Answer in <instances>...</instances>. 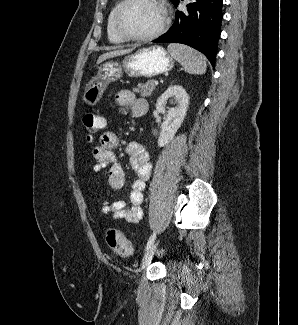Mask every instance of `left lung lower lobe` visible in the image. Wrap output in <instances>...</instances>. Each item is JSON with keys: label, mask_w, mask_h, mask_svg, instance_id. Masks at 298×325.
<instances>
[{"label": "left lung lower lobe", "mask_w": 298, "mask_h": 325, "mask_svg": "<svg viewBox=\"0 0 298 325\" xmlns=\"http://www.w3.org/2000/svg\"><path fill=\"white\" fill-rule=\"evenodd\" d=\"M178 3L179 0L173 4ZM187 11H177L172 27L153 42L189 45L202 52L214 67L223 18L222 0H194L187 4Z\"/></svg>", "instance_id": "1"}]
</instances>
